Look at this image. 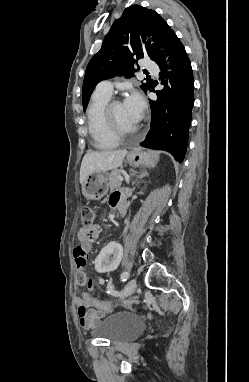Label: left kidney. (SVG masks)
I'll use <instances>...</instances> for the list:
<instances>
[{"instance_id": "obj_1", "label": "left kidney", "mask_w": 249, "mask_h": 382, "mask_svg": "<svg viewBox=\"0 0 249 382\" xmlns=\"http://www.w3.org/2000/svg\"><path fill=\"white\" fill-rule=\"evenodd\" d=\"M125 256V246L119 241H111L110 245H104V250L94 260L97 273H115L117 267H122Z\"/></svg>"}]
</instances>
